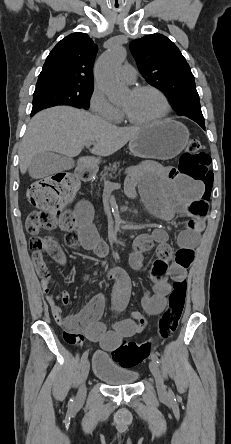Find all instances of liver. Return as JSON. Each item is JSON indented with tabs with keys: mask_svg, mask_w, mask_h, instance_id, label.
Instances as JSON below:
<instances>
[{
	"mask_svg": "<svg viewBox=\"0 0 231 444\" xmlns=\"http://www.w3.org/2000/svg\"><path fill=\"white\" fill-rule=\"evenodd\" d=\"M143 128L117 127L69 106L40 111L31 119L20 144V171L25 174L38 153L56 152L69 159L78 156L86 143L93 144L90 152L94 155H112Z\"/></svg>",
	"mask_w": 231,
	"mask_h": 444,
	"instance_id": "6515ba94",
	"label": "liver"
}]
</instances>
